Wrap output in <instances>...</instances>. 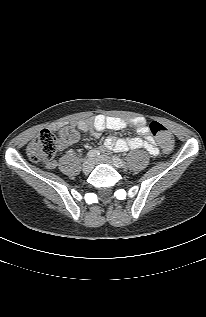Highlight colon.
<instances>
[{"label":"colon","mask_w":206,"mask_h":317,"mask_svg":"<svg viewBox=\"0 0 206 317\" xmlns=\"http://www.w3.org/2000/svg\"><path fill=\"white\" fill-rule=\"evenodd\" d=\"M149 130L159 145L166 151L172 149L174 138L171 132L161 123L153 121ZM76 130L66 127L60 132L61 139L72 140L76 138ZM57 138L49 130H42L27 148L28 157L34 162H47L53 158L57 149Z\"/></svg>","instance_id":"5ec220e1"}]
</instances>
